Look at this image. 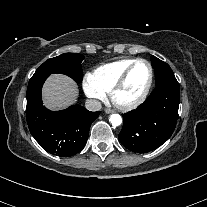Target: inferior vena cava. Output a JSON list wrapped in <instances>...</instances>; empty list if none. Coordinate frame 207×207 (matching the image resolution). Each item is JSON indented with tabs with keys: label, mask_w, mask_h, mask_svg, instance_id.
<instances>
[{
	"label": "inferior vena cava",
	"mask_w": 207,
	"mask_h": 207,
	"mask_svg": "<svg viewBox=\"0 0 207 207\" xmlns=\"http://www.w3.org/2000/svg\"><path fill=\"white\" fill-rule=\"evenodd\" d=\"M85 107L89 111H99L101 109V103L95 99H87L85 102Z\"/></svg>",
	"instance_id": "1"
}]
</instances>
